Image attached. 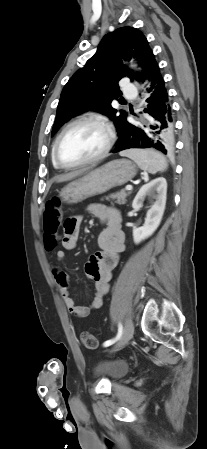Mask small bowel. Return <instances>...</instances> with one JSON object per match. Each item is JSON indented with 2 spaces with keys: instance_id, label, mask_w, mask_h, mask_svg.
Returning a JSON list of instances; mask_svg holds the SVG:
<instances>
[{
  "instance_id": "obj_1",
  "label": "small bowel",
  "mask_w": 207,
  "mask_h": 449,
  "mask_svg": "<svg viewBox=\"0 0 207 449\" xmlns=\"http://www.w3.org/2000/svg\"><path fill=\"white\" fill-rule=\"evenodd\" d=\"M89 211L104 224L97 239L101 250L91 255L85 266L87 278L94 282V295L90 304L88 306L76 305L70 294L67 274L60 269L54 270V278L64 304L68 312L78 318L86 317L102 306L103 297L109 289L112 271L118 263V255L125 249V236L121 229L120 213L116 209L100 203L92 204ZM81 223L80 215H72L64 221L62 249L56 252L58 261H63L66 251L76 247Z\"/></svg>"
}]
</instances>
